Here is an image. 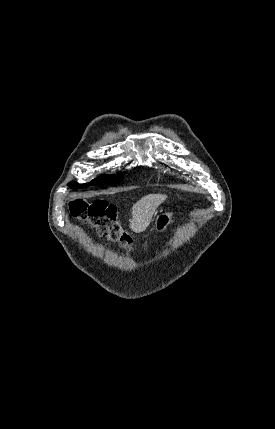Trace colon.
I'll use <instances>...</instances> for the list:
<instances>
[{"mask_svg":"<svg viewBox=\"0 0 275 429\" xmlns=\"http://www.w3.org/2000/svg\"><path fill=\"white\" fill-rule=\"evenodd\" d=\"M71 215L82 223L96 229L100 236L118 243L126 252H133V238L124 232L117 221L116 207L103 200H76L70 203Z\"/></svg>","mask_w":275,"mask_h":429,"instance_id":"obj_1","label":"colon"}]
</instances>
